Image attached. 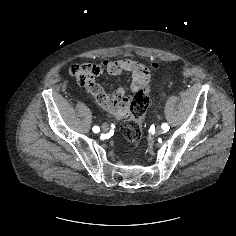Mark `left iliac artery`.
Segmentation results:
<instances>
[{
  "label": "left iliac artery",
  "mask_w": 236,
  "mask_h": 236,
  "mask_svg": "<svg viewBox=\"0 0 236 236\" xmlns=\"http://www.w3.org/2000/svg\"><path fill=\"white\" fill-rule=\"evenodd\" d=\"M161 127H162V129L165 130V131H167V130L169 129V126H168L167 123H163V124L161 125Z\"/></svg>",
  "instance_id": "1"
}]
</instances>
